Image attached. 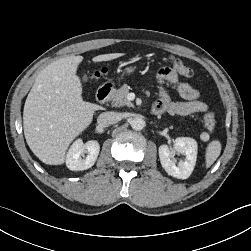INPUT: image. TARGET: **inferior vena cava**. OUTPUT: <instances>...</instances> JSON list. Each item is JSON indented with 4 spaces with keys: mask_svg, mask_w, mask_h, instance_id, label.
<instances>
[{
    "mask_svg": "<svg viewBox=\"0 0 251 251\" xmlns=\"http://www.w3.org/2000/svg\"><path fill=\"white\" fill-rule=\"evenodd\" d=\"M119 121V117L114 112H104L98 116L97 122L100 126L106 127Z\"/></svg>",
    "mask_w": 251,
    "mask_h": 251,
    "instance_id": "602c4592",
    "label": "inferior vena cava"
}]
</instances>
